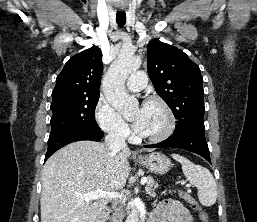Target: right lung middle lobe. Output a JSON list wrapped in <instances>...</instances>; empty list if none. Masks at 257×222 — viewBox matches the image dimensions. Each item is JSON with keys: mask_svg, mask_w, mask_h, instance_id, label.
Wrapping results in <instances>:
<instances>
[{"mask_svg": "<svg viewBox=\"0 0 257 222\" xmlns=\"http://www.w3.org/2000/svg\"><path fill=\"white\" fill-rule=\"evenodd\" d=\"M99 95L82 99L52 101L53 112L49 137L60 133L77 131H101L95 120V108Z\"/></svg>", "mask_w": 257, "mask_h": 222, "instance_id": "dd1d6c3e", "label": "right lung middle lobe"}]
</instances>
